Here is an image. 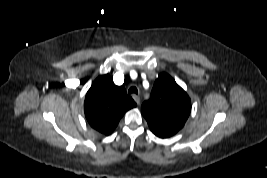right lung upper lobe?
Instances as JSON below:
<instances>
[{
	"instance_id": "right-lung-upper-lobe-1",
	"label": "right lung upper lobe",
	"mask_w": 267,
	"mask_h": 178,
	"mask_svg": "<svg viewBox=\"0 0 267 178\" xmlns=\"http://www.w3.org/2000/svg\"><path fill=\"white\" fill-rule=\"evenodd\" d=\"M136 107L123 86L114 84L109 74L99 76L88 90L84 112L92 128L102 134L110 135L122 116Z\"/></svg>"
}]
</instances>
